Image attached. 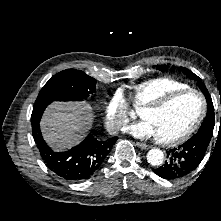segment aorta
Masks as SVG:
<instances>
[{
	"instance_id": "obj_1",
	"label": "aorta",
	"mask_w": 221,
	"mask_h": 221,
	"mask_svg": "<svg viewBox=\"0 0 221 221\" xmlns=\"http://www.w3.org/2000/svg\"><path fill=\"white\" fill-rule=\"evenodd\" d=\"M163 160H164V154L158 148L151 149L147 153V161L152 166H159V165H161L163 163Z\"/></svg>"
}]
</instances>
